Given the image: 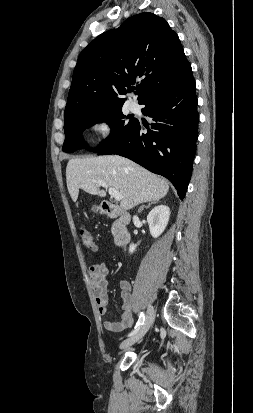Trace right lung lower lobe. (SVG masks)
<instances>
[{
  "label": "right lung lower lobe",
  "instance_id": "right-lung-lower-lobe-1",
  "mask_svg": "<svg viewBox=\"0 0 253 413\" xmlns=\"http://www.w3.org/2000/svg\"><path fill=\"white\" fill-rule=\"evenodd\" d=\"M140 104L145 105L143 114L154 121L151 129L143 133L139 121H135L119 139L97 153L129 158L168 178L183 199L198 138L199 114L192 70L176 85L149 95Z\"/></svg>",
  "mask_w": 253,
  "mask_h": 413
}]
</instances>
